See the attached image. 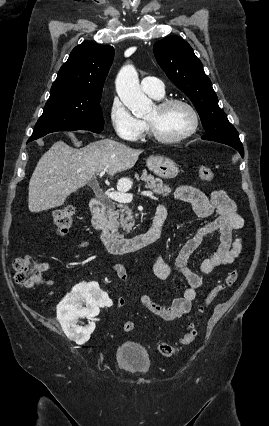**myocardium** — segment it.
I'll return each instance as SVG.
<instances>
[{
  "label": "myocardium",
  "instance_id": "obj_1",
  "mask_svg": "<svg viewBox=\"0 0 269 426\" xmlns=\"http://www.w3.org/2000/svg\"><path fill=\"white\" fill-rule=\"evenodd\" d=\"M172 105H182L189 110V112L192 115V119H193L192 126L187 132H185V133H183L179 136L166 137V136H163L151 122L146 120V127H147L149 137L151 139L159 142V143H164V144L180 143V142L190 138L191 136H193L199 128L200 119H199V115H198L196 109L193 107L192 104H190L188 101H186L184 99H180V98L162 99L156 104V107H157L158 110L163 111V110H166L167 108H169Z\"/></svg>",
  "mask_w": 269,
  "mask_h": 426
}]
</instances>
